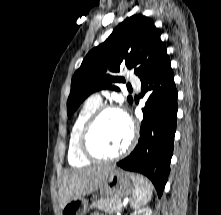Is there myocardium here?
<instances>
[{"instance_id": "myocardium-1", "label": "myocardium", "mask_w": 221, "mask_h": 215, "mask_svg": "<svg viewBox=\"0 0 221 215\" xmlns=\"http://www.w3.org/2000/svg\"><path fill=\"white\" fill-rule=\"evenodd\" d=\"M107 112L119 113L125 119L126 123L129 126L130 137H129V141L127 145L125 146L123 150H121L120 152L114 155L103 156V155L96 153L92 149L90 145V136L98 120ZM136 141H137V129L134 123L131 121V119L117 106L112 105V104H104V105H100L85 122L81 130L80 136H79V149L81 153L87 159L91 161L108 162V161H115V160L121 159L127 154H129L131 150L134 148Z\"/></svg>"}]
</instances>
